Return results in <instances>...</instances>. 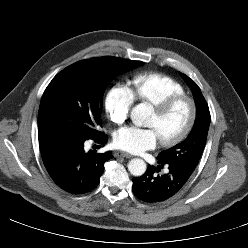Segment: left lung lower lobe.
<instances>
[{
	"label": "left lung lower lobe",
	"instance_id": "obj_1",
	"mask_svg": "<svg viewBox=\"0 0 248 248\" xmlns=\"http://www.w3.org/2000/svg\"><path fill=\"white\" fill-rule=\"evenodd\" d=\"M158 163L157 170L163 165L168 167L166 174L156 175L155 167L149 165L144 175L132 179V191L143 202L158 203L170 199L183 188L193 172L186 167Z\"/></svg>",
	"mask_w": 248,
	"mask_h": 248
}]
</instances>
